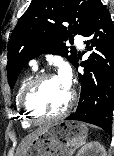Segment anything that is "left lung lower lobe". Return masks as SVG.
<instances>
[{
	"label": "left lung lower lobe",
	"mask_w": 114,
	"mask_h": 156,
	"mask_svg": "<svg viewBox=\"0 0 114 156\" xmlns=\"http://www.w3.org/2000/svg\"><path fill=\"white\" fill-rule=\"evenodd\" d=\"M82 36L88 38L85 42L87 51H95L89 60L81 64L85 71L84 75H79L81 94L78 108L66 120L91 123L111 134L114 110V25L101 1L94 6Z\"/></svg>",
	"instance_id": "0a47b994"
}]
</instances>
